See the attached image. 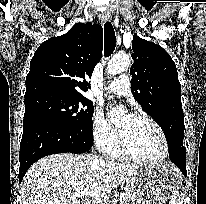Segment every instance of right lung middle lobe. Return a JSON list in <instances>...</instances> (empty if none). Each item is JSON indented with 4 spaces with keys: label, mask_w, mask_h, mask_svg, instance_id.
Masks as SVG:
<instances>
[{
    "label": "right lung middle lobe",
    "mask_w": 206,
    "mask_h": 204,
    "mask_svg": "<svg viewBox=\"0 0 206 204\" xmlns=\"http://www.w3.org/2000/svg\"><path fill=\"white\" fill-rule=\"evenodd\" d=\"M25 123L32 118L46 119L61 127L75 129L92 138L93 103L84 97L39 94L25 98Z\"/></svg>",
    "instance_id": "1"
}]
</instances>
